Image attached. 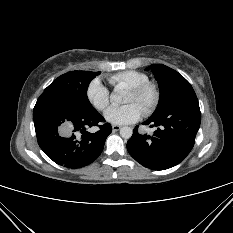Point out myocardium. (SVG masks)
Masks as SVG:
<instances>
[{
    "mask_svg": "<svg viewBox=\"0 0 233 233\" xmlns=\"http://www.w3.org/2000/svg\"><path fill=\"white\" fill-rule=\"evenodd\" d=\"M129 90L143 100L144 114H150L155 110L160 100V90L155 82L146 81L130 87Z\"/></svg>",
    "mask_w": 233,
    "mask_h": 233,
    "instance_id": "1",
    "label": "myocardium"
}]
</instances>
